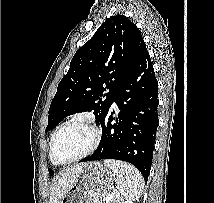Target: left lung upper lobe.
I'll use <instances>...</instances> for the list:
<instances>
[{
    "mask_svg": "<svg viewBox=\"0 0 214 203\" xmlns=\"http://www.w3.org/2000/svg\"><path fill=\"white\" fill-rule=\"evenodd\" d=\"M145 49L140 30L129 18H108L73 56L51 102L46 131L81 111L93 110L101 122L122 80ZM49 173L54 174L52 169Z\"/></svg>",
    "mask_w": 214,
    "mask_h": 203,
    "instance_id": "5c2ea615",
    "label": "left lung upper lobe"
}]
</instances>
